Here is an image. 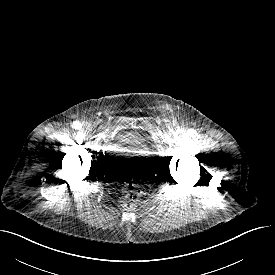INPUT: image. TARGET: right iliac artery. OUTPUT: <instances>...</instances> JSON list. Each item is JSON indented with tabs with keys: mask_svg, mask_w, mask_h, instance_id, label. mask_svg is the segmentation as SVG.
I'll use <instances>...</instances> for the list:
<instances>
[{
	"mask_svg": "<svg viewBox=\"0 0 275 275\" xmlns=\"http://www.w3.org/2000/svg\"><path fill=\"white\" fill-rule=\"evenodd\" d=\"M80 126H81V123H80L79 121H75V122H73V124H72V128H75V129L80 128Z\"/></svg>",
	"mask_w": 275,
	"mask_h": 275,
	"instance_id": "right-iliac-artery-1",
	"label": "right iliac artery"
}]
</instances>
